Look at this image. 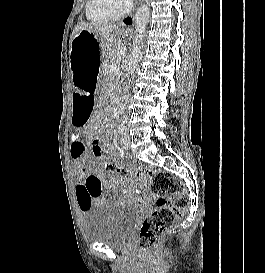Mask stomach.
<instances>
[{
	"instance_id": "1",
	"label": "stomach",
	"mask_w": 265,
	"mask_h": 273,
	"mask_svg": "<svg viewBox=\"0 0 265 273\" xmlns=\"http://www.w3.org/2000/svg\"><path fill=\"white\" fill-rule=\"evenodd\" d=\"M128 31L121 30L119 35H126ZM104 49H129V44H106L94 33L81 30L70 45V63L77 95L84 91L98 90L100 80H83L84 78H105L99 61Z\"/></svg>"
}]
</instances>
